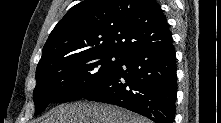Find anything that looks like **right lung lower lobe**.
Instances as JSON below:
<instances>
[{"label":"right lung lower lobe","mask_w":221,"mask_h":123,"mask_svg":"<svg viewBox=\"0 0 221 123\" xmlns=\"http://www.w3.org/2000/svg\"><path fill=\"white\" fill-rule=\"evenodd\" d=\"M172 37L126 54L103 82L82 97L118 105L155 123H173L177 95Z\"/></svg>","instance_id":"right-lung-lower-lobe-1"}]
</instances>
